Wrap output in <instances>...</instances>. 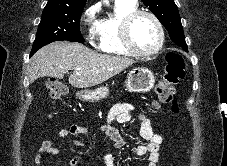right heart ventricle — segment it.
<instances>
[{
	"label": "right heart ventricle",
	"instance_id": "1",
	"mask_svg": "<svg viewBox=\"0 0 227 166\" xmlns=\"http://www.w3.org/2000/svg\"><path fill=\"white\" fill-rule=\"evenodd\" d=\"M137 10L136 3L115 1L114 12L97 22V48L108 54L130 55L120 39V25L122 20Z\"/></svg>",
	"mask_w": 227,
	"mask_h": 166
}]
</instances>
